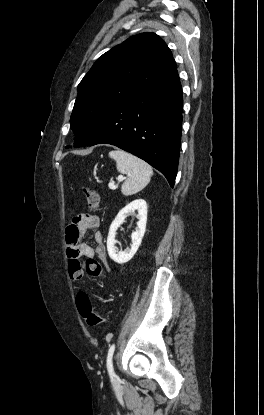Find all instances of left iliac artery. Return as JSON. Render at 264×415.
Here are the masks:
<instances>
[{"mask_svg": "<svg viewBox=\"0 0 264 415\" xmlns=\"http://www.w3.org/2000/svg\"><path fill=\"white\" fill-rule=\"evenodd\" d=\"M114 350H115V345L112 344L108 350V355H107V369L111 377L115 376V373L113 370V364H112V356H113Z\"/></svg>", "mask_w": 264, "mask_h": 415, "instance_id": "obj_1", "label": "left iliac artery"}]
</instances>
